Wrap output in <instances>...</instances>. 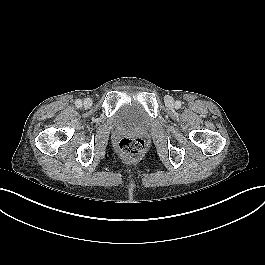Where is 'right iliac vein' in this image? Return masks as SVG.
<instances>
[{"mask_svg": "<svg viewBox=\"0 0 265 265\" xmlns=\"http://www.w3.org/2000/svg\"><path fill=\"white\" fill-rule=\"evenodd\" d=\"M83 104L85 108H89L92 105V100L90 98H86L84 99Z\"/></svg>", "mask_w": 265, "mask_h": 265, "instance_id": "63e3f726", "label": "right iliac vein"}]
</instances>
